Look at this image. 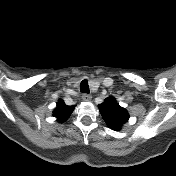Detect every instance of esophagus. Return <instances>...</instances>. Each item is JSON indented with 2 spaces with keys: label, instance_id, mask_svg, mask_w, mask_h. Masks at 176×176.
Wrapping results in <instances>:
<instances>
[{
  "label": "esophagus",
  "instance_id": "34e87169",
  "mask_svg": "<svg viewBox=\"0 0 176 176\" xmlns=\"http://www.w3.org/2000/svg\"><path fill=\"white\" fill-rule=\"evenodd\" d=\"M91 98H92V96H91L90 94H83V96H82V99H83V101H85V102L90 101Z\"/></svg>",
  "mask_w": 176,
  "mask_h": 176
}]
</instances>
